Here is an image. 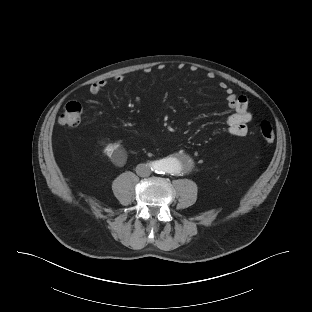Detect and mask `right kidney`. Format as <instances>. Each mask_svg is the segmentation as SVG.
Instances as JSON below:
<instances>
[{
    "label": "right kidney",
    "mask_w": 312,
    "mask_h": 312,
    "mask_svg": "<svg viewBox=\"0 0 312 312\" xmlns=\"http://www.w3.org/2000/svg\"><path fill=\"white\" fill-rule=\"evenodd\" d=\"M105 152L113 160H117L119 157L124 156V150L118 145L107 146Z\"/></svg>",
    "instance_id": "obj_1"
}]
</instances>
